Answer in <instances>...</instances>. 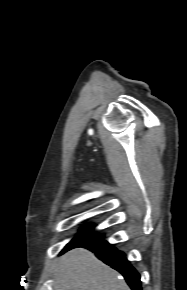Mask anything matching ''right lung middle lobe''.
Returning <instances> with one entry per match:
<instances>
[{
	"label": "right lung middle lobe",
	"instance_id": "right-lung-middle-lobe-1",
	"mask_svg": "<svg viewBox=\"0 0 187 290\" xmlns=\"http://www.w3.org/2000/svg\"><path fill=\"white\" fill-rule=\"evenodd\" d=\"M94 229V226L90 227H85L80 232L78 235H76L65 247L64 250L69 249L72 246L81 244V243H86L90 242L99 238H102V234H95L92 230Z\"/></svg>",
	"mask_w": 187,
	"mask_h": 290
}]
</instances>
